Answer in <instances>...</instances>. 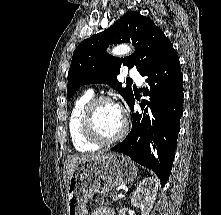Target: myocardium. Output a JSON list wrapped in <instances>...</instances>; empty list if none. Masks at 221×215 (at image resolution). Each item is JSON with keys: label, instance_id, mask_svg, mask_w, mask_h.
<instances>
[{"label": "myocardium", "instance_id": "f54148a6", "mask_svg": "<svg viewBox=\"0 0 221 215\" xmlns=\"http://www.w3.org/2000/svg\"><path fill=\"white\" fill-rule=\"evenodd\" d=\"M103 103H112L111 98L107 96H98L90 99L84 106L80 117V128L83 136L92 143L98 145H110L120 141L128 131V121L123 118V124L120 131L112 137L102 136L95 126L96 108Z\"/></svg>", "mask_w": 221, "mask_h": 215}]
</instances>
